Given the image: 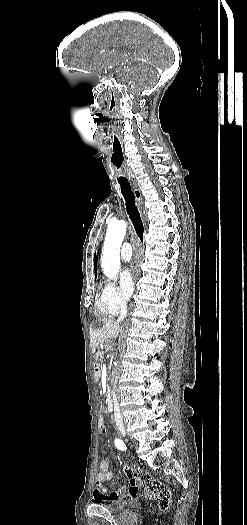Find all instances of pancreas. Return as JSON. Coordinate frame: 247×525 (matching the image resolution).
<instances>
[{
    "instance_id": "cf45deb5",
    "label": "pancreas",
    "mask_w": 247,
    "mask_h": 525,
    "mask_svg": "<svg viewBox=\"0 0 247 525\" xmlns=\"http://www.w3.org/2000/svg\"><path fill=\"white\" fill-rule=\"evenodd\" d=\"M95 361H99L98 352H95Z\"/></svg>"
}]
</instances>
